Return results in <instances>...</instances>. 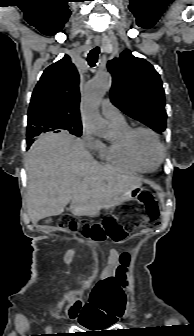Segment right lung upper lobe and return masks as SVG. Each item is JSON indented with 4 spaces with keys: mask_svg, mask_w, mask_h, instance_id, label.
Returning a JSON list of instances; mask_svg holds the SVG:
<instances>
[{
    "mask_svg": "<svg viewBox=\"0 0 194 336\" xmlns=\"http://www.w3.org/2000/svg\"><path fill=\"white\" fill-rule=\"evenodd\" d=\"M79 75L65 55L50 65L37 83L29 106L27 144L44 133L82 128L79 113Z\"/></svg>",
    "mask_w": 194,
    "mask_h": 336,
    "instance_id": "right-lung-upper-lobe-1",
    "label": "right lung upper lobe"
}]
</instances>
